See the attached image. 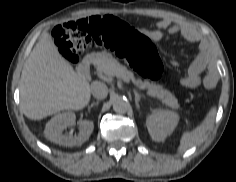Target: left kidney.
<instances>
[{
  "label": "left kidney",
  "instance_id": "5707ae66",
  "mask_svg": "<svg viewBox=\"0 0 236 182\" xmlns=\"http://www.w3.org/2000/svg\"><path fill=\"white\" fill-rule=\"evenodd\" d=\"M179 115L171 110L155 109L146 119V126L151 138L162 142L176 128Z\"/></svg>",
  "mask_w": 236,
  "mask_h": 182
}]
</instances>
